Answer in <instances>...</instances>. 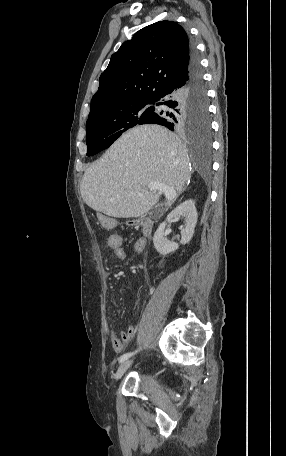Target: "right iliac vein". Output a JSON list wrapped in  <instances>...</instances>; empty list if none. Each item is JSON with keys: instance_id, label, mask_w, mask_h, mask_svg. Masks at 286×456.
I'll return each mask as SVG.
<instances>
[{"instance_id": "63e3f726", "label": "right iliac vein", "mask_w": 286, "mask_h": 456, "mask_svg": "<svg viewBox=\"0 0 286 456\" xmlns=\"http://www.w3.org/2000/svg\"><path fill=\"white\" fill-rule=\"evenodd\" d=\"M132 361L131 360H126L124 361L123 363H121V365L118 367L116 373H115V380L118 381L124 374L125 372L128 370V368L130 367Z\"/></svg>"}]
</instances>
